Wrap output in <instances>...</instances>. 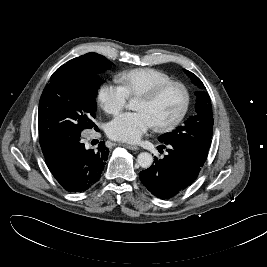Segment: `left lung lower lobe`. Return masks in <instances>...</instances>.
Listing matches in <instances>:
<instances>
[{"label": "left lung lower lobe", "instance_id": "left-lung-lower-lobe-1", "mask_svg": "<svg viewBox=\"0 0 267 267\" xmlns=\"http://www.w3.org/2000/svg\"><path fill=\"white\" fill-rule=\"evenodd\" d=\"M163 148L165 146L161 145ZM167 155L155 157L154 165L140 172L143 185L156 197L169 199L190 186L203 167L195 151L178 144H167Z\"/></svg>", "mask_w": 267, "mask_h": 267}]
</instances>
